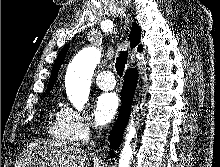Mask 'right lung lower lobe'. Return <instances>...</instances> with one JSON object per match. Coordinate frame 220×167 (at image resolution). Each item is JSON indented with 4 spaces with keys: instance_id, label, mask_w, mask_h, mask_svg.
<instances>
[{
    "instance_id": "98d812e1",
    "label": "right lung lower lobe",
    "mask_w": 220,
    "mask_h": 167,
    "mask_svg": "<svg viewBox=\"0 0 220 167\" xmlns=\"http://www.w3.org/2000/svg\"><path fill=\"white\" fill-rule=\"evenodd\" d=\"M137 71L135 69H128L124 76V85L121 92V98L123 105L120 107V116L115 124L113 130L111 131L110 135V149H118L120 146L123 132L125 129V125L129 118V113L131 110V104L133 101V96L135 92V88L137 85ZM112 157H115V153H110Z\"/></svg>"
}]
</instances>
